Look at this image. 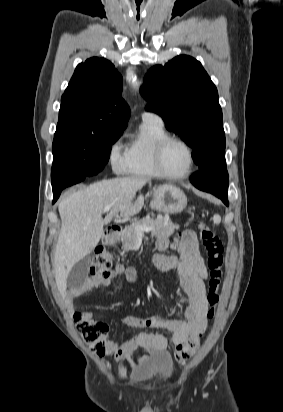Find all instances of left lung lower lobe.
Returning <instances> with one entry per match:
<instances>
[{"label":"left lung lower lobe","instance_id":"1","mask_svg":"<svg viewBox=\"0 0 283 412\" xmlns=\"http://www.w3.org/2000/svg\"><path fill=\"white\" fill-rule=\"evenodd\" d=\"M210 167H204L191 178L194 186L222 199L228 206V172L226 169L225 152H214Z\"/></svg>","mask_w":283,"mask_h":412}]
</instances>
